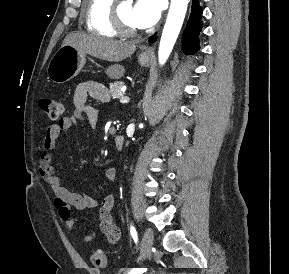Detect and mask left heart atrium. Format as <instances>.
<instances>
[{
    "label": "left heart atrium",
    "instance_id": "1",
    "mask_svg": "<svg viewBox=\"0 0 289 274\" xmlns=\"http://www.w3.org/2000/svg\"><path fill=\"white\" fill-rule=\"evenodd\" d=\"M161 14L160 0H137L132 8V22L137 28L154 25Z\"/></svg>",
    "mask_w": 289,
    "mask_h": 274
}]
</instances>
